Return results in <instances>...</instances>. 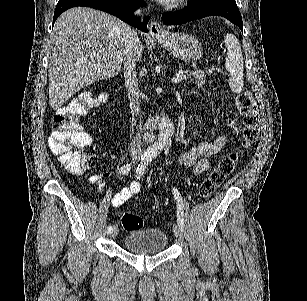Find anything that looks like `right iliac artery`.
Instances as JSON below:
<instances>
[{"label": "right iliac artery", "instance_id": "obj_1", "mask_svg": "<svg viewBox=\"0 0 307 301\" xmlns=\"http://www.w3.org/2000/svg\"><path fill=\"white\" fill-rule=\"evenodd\" d=\"M140 160H142L143 162L146 161V160H148L147 154L141 155ZM130 170H131V164L127 163V164H125V165H123V166L121 167L120 173H121L122 175H127V174L129 173ZM112 229H113L112 226H108V227H107V230H106L107 233L110 234L111 231H112Z\"/></svg>", "mask_w": 307, "mask_h": 301}]
</instances>
